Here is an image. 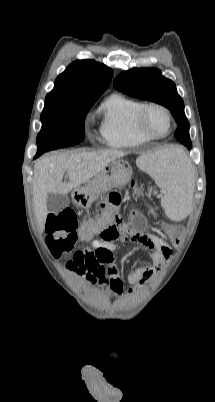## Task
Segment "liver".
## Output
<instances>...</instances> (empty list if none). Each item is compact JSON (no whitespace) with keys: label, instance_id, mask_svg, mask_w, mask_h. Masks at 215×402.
I'll use <instances>...</instances> for the list:
<instances>
[{"label":"liver","instance_id":"6515ba94","mask_svg":"<svg viewBox=\"0 0 215 402\" xmlns=\"http://www.w3.org/2000/svg\"><path fill=\"white\" fill-rule=\"evenodd\" d=\"M123 156L125 153L122 151L107 149L97 152L62 153L37 160L34 166L33 200L40 230H44L48 215L46 205L48 194L66 195L80 188L110 163ZM65 172L69 177L67 182H63Z\"/></svg>","mask_w":215,"mask_h":402}]
</instances>
